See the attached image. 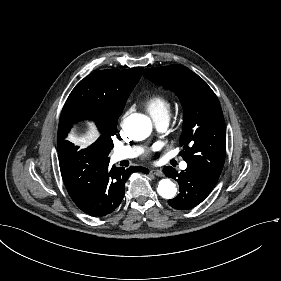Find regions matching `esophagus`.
<instances>
[{
  "label": "esophagus",
  "mask_w": 281,
  "mask_h": 281,
  "mask_svg": "<svg viewBox=\"0 0 281 281\" xmlns=\"http://www.w3.org/2000/svg\"><path fill=\"white\" fill-rule=\"evenodd\" d=\"M150 173L154 174L156 176H159V177H163L164 176V173H163V171L161 169L150 170Z\"/></svg>",
  "instance_id": "1"
}]
</instances>
